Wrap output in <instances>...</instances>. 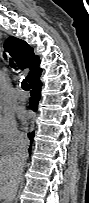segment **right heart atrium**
<instances>
[{
    "mask_svg": "<svg viewBox=\"0 0 89 203\" xmlns=\"http://www.w3.org/2000/svg\"><path fill=\"white\" fill-rule=\"evenodd\" d=\"M24 139L13 114L9 112L0 115V144L4 152L15 150Z\"/></svg>",
    "mask_w": 89,
    "mask_h": 203,
    "instance_id": "1",
    "label": "right heart atrium"
}]
</instances>
